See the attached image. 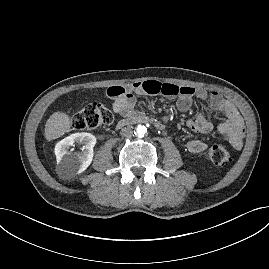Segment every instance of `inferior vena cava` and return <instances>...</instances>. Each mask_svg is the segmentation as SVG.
Instances as JSON below:
<instances>
[{
	"label": "inferior vena cava",
	"instance_id": "obj_1",
	"mask_svg": "<svg viewBox=\"0 0 269 269\" xmlns=\"http://www.w3.org/2000/svg\"><path fill=\"white\" fill-rule=\"evenodd\" d=\"M120 134L122 136H125V137H128V136H131L133 134V130H132V127L130 126H127V127H123L120 131Z\"/></svg>",
	"mask_w": 269,
	"mask_h": 269
}]
</instances>
